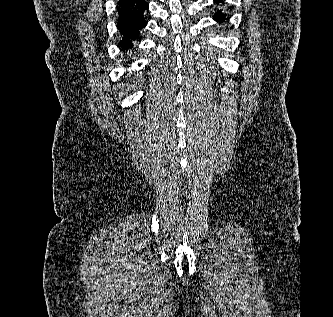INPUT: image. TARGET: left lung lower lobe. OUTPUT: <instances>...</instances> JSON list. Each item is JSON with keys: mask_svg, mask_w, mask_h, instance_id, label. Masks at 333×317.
I'll return each instance as SVG.
<instances>
[{"mask_svg": "<svg viewBox=\"0 0 333 317\" xmlns=\"http://www.w3.org/2000/svg\"><path fill=\"white\" fill-rule=\"evenodd\" d=\"M214 2L219 4L220 2L222 3V0H215ZM213 18L216 22L222 23L225 21L226 14L222 13L221 11H217Z\"/></svg>", "mask_w": 333, "mask_h": 317, "instance_id": "left-lung-lower-lobe-1", "label": "left lung lower lobe"}]
</instances>
